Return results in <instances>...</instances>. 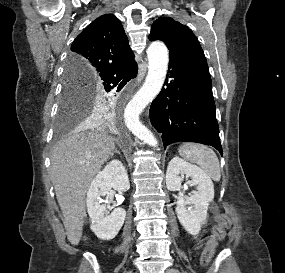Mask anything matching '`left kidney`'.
I'll list each match as a JSON object with an SVG mask.
<instances>
[{
  "label": "left kidney",
  "instance_id": "5707ae66",
  "mask_svg": "<svg viewBox=\"0 0 285 273\" xmlns=\"http://www.w3.org/2000/svg\"><path fill=\"white\" fill-rule=\"evenodd\" d=\"M184 176L186 179L191 178L187 181L190 186H196L189 197L181 192ZM166 186L169 191H179L175 209L179 222L189 234L198 235L207 218L209 203L214 198L211 179L198 166L174 157L167 168Z\"/></svg>",
  "mask_w": 285,
  "mask_h": 273
}]
</instances>
